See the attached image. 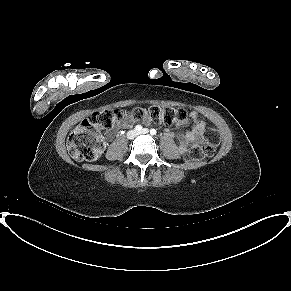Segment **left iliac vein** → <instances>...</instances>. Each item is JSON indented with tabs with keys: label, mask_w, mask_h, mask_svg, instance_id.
<instances>
[{
	"label": "left iliac vein",
	"mask_w": 291,
	"mask_h": 291,
	"mask_svg": "<svg viewBox=\"0 0 291 291\" xmlns=\"http://www.w3.org/2000/svg\"><path fill=\"white\" fill-rule=\"evenodd\" d=\"M148 133H149V130L144 128L140 132H138L137 134H148Z\"/></svg>",
	"instance_id": "obj_1"
}]
</instances>
